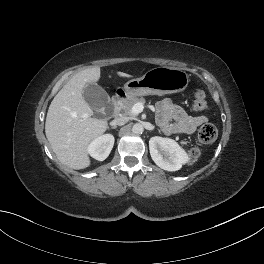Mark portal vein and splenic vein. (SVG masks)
Segmentation results:
<instances>
[{"label": "portal vein and splenic vein", "instance_id": "1", "mask_svg": "<svg viewBox=\"0 0 264 264\" xmlns=\"http://www.w3.org/2000/svg\"><path fill=\"white\" fill-rule=\"evenodd\" d=\"M144 109V105L142 103H136L132 109H131V112L134 114V115H137L139 113H141Z\"/></svg>", "mask_w": 264, "mask_h": 264}]
</instances>
